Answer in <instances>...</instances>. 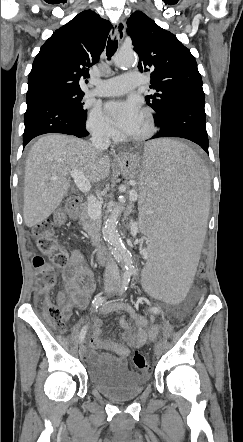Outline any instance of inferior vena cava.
Listing matches in <instances>:
<instances>
[{"instance_id":"1","label":"inferior vena cava","mask_w":243,"mask_h":442,"mask_svg":"<svg viewBox=\"0 0 243 442\" xmlns=\"http://www.w3.org/2000/svg\"><path fill=\"white\" fill-rule=\"evenodd\" d=\"M91 136H92L91 137L92 145L96 149L98 155H101L102 152L108 149L110 145L109 135L107 134L104 128L94 127L91 130ZM105 277L112 279L119 278L118 266L110 254H107V262L105 265Z\"/></svg>"}]
</instances>
